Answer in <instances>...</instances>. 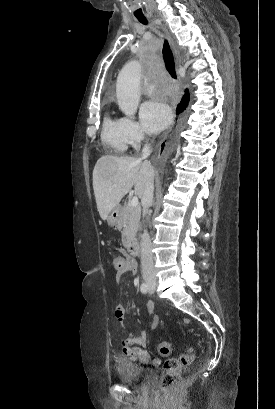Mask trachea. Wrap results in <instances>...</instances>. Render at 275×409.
I'll list each match as a JSON object with an SVG mask.
<instances>
[{
	"label": "trachea",
	"mask_w": 275,
	"mask_h": 409,
	"mask_svg": "<svg viewBox=\"0 0 275 409\" xmlns=\"http://www.w3.org/2000/svg\"><path fill=\"white\" fill-rule=\"evenodd\" d=\"M139 22L142 24H148V21L146 19H140ZM163 58H164V62H165L167 71L174 79H176L177 76L175 72V62H174L173 54L166 40H164V45H163Z\"/></svg>",
	"instance_id": "trachea-1"
}]
</instances>
